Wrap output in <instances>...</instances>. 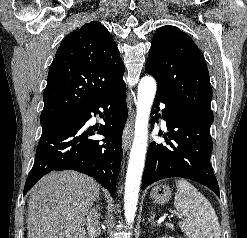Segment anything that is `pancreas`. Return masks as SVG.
I'll return each mask as SVG.
<instances>
[{"mask_svg": "<svg viewBox=\"0 0 247 238\" xmlns=\"http://www.w3.org/2000/svg\"><path fill=\"white\" fill-rule=\"evenodd\" d=\"M166 226L168 227V228H170V229H174V227H173V224H171V223H166Z\"/></svg>", "mask_w": 247, "mask_h": 238, "instance_id": "pancreas-1", "label": "pancreas"}]
</instances>
